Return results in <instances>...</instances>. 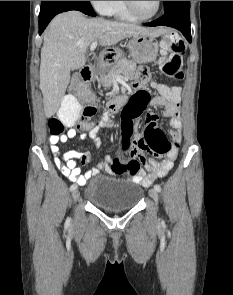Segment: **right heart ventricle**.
<instances>
[{
  "mask_svg": "<svg viewBox=\"0 0 233 295\" xmlns=\"http://www.w3.org/2000/svg\"><path fill=\"white\" fill-rule=\"evenodd\" d=\"M109 15L125 21H135L137 20L130 12L127 10L124 1H113Z\"/></svg>",
  "mask_w": 233,
  "mask_h": 295,
  "instance_id": "obj_1",
  "label": "right heart ventricle"
}]
</instances>
